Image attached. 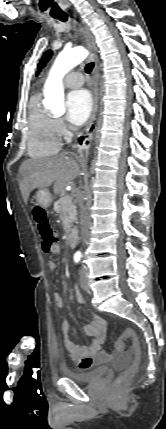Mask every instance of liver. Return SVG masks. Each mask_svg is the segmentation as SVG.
<instances>
[{
    "label": "liver",
    "mask_w": 166,
    "mask_h": 429,
    "mask_svg": "<svg viewBox=\"0 0 166 429\" xmlns=\"http://www.w3.org/2000/svg\"><path fill=\"white\" fill-rule=\"evenodd\" d=\"M80 167L67 152L43 159H27L19 168V186L22 198L27 203L30 193L54 184L56 194L62 192L67 183L74 180Z\"/></svg>",
    "instance_id": "1"
}]
</instances>
